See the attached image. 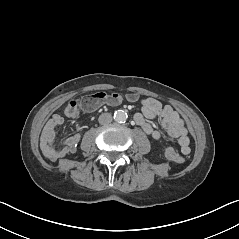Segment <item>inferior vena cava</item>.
<instances>
[{
    "instance_id": "obj_1",
    "label": "inferior vena cava",
    "mask_w": 239,
    "mask_h": 239,
    "mask_svg": "<svg viewBox=\"0 0 239 239\" xmlns=\"http://www.w3.org/2000/svg\"><path fill=\"white\" fill-rule=\"evenodd\" d=\"M98 121L101 125H107L112 122V116L110 113H103L99 116Z\"/></svg>"
}]
</instances>
